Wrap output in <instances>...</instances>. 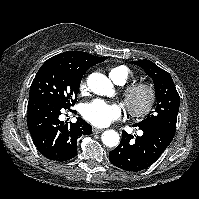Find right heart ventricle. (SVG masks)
Masks as SVG:
<instances>
[{
  "instance_id": "right-heart-ventricle-1",
  "label": "right heart ventricle",
  "mask_w": 199,
  "mask_h": 199,
  "mask_svg": "<svg viewBox=\"0 0 199 199\" xmlns=\"http://www.w3.org/2000/svg\"><path fill=\"white\" fill-rule=\"evenodd\" d=\"M109 76L117 85H124L131 77V72L124 65H115L108 69Z\"/></svg>"
}]
</instances>
